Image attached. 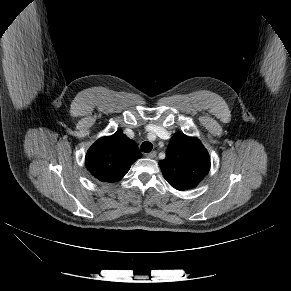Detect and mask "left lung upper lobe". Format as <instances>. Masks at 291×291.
<instances>
[{
	"label": "left lung upper lobe",
	"mask_w": 291,
	"mask_h": 291,
	"mask_svg": "<svg viewBox=\"0 0 291 291\" xmlns=\"http://www.w3.org/2000/svg\"><path fill=\"white\" fill-rule=\"evenodd\" d=\"M164 178L177 190L196 187L210 170V157L201 142L176 132L159 162Z\"/></svg>",
	"instance_id": "5c2ea615"
}]
</instances>
